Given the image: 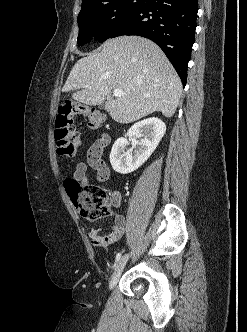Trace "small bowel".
Segmentation results:
<instances>
[{
  "label": "small bowel",
  "mask_w": 247,
  "mask_h": 332,
  "mask_svg": "<svg viewBox=\"0 0 247 332\" xmlns=\"http://www.w3.org/2000/svg\"><path fill=\"white\" fill-rule=\"evenodd\" d=\"M110 138L108 135H102L89 149L87 155L88 164L96 171V179L99 182H105L109 179L110 169L102 159L104 148L108 145ZM91 172L85 161H80L73 173V179L87 186ZM111 203L115 208H119L122 203V195L115 191L111 196ZM126 218L122 214H117L113 219L110 230L101 234L97 228H91L88 231L90 242L93 246L104 247L118 241L124 234Z\"/></svg>",
  "instance_id": "obj_1"
}]
</instances>
